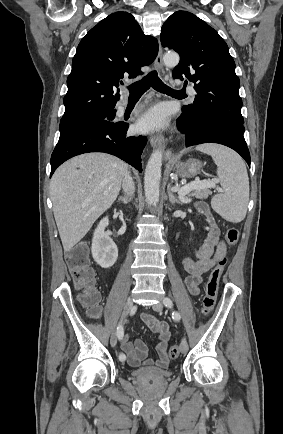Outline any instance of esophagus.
Segmentation results:
<instances>
[{
    "mask_svg": "<svg viewBox=\"0 0 283 434\" xmlns=\"http://www.w3.org/2000/svg\"><path fill=\"white\" fill-rule=\"evenodd\" d=\"M162 56H163V51H162L161 46L159 45L158 55H157L156 60H155V65L158 69L163 68ZM163 142H164V136L162 134L152 135L150 137V143L153 147H157L158 145L162 144ZM171 155L172 154L170 151H166L165 158L168 159L171 157Z\"/></svg>",
    "mask_w": 283,
    "mask_h": 434,
    "instance_id": "esophagus-1",
    "label": "esophagus"
}]
</instances>
